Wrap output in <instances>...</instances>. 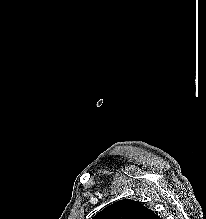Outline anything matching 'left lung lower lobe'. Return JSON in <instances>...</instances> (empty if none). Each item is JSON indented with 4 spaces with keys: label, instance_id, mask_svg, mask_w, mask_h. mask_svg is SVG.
<instances>
[{
    "label": "left lung lower lobe",
    "instance_id": "obj_1",
    "mask_svg": "<svg viewBox=\"0 0 206 219\" xmlns=\"http://www.w3.org/2000/svg\"><path fill=\"white\" fill-rule=\"evenodd\" d=\"M151 219H161V218L154 213Z\"/></svg>",
    "mask_w": 206,
    "mask_h": 219
}]
</instances>
